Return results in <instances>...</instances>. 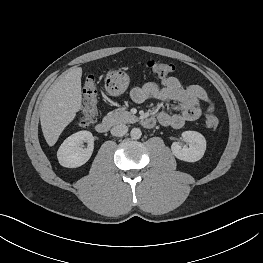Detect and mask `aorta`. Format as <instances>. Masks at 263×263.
<instances>
[{
	"mask_svg": "<svg viewBox=\"0 0 263 263\" xmlns=\"http://www.w3.org/2000/svg\"><path fill=\"white\" fill-rule=\"evenodd\" d=\"M132 139H139L142 135V132L139 128H133L130 132Z\"/></svg>",
	"mask_w": 263,
	"mask_h": 263,
	"instance_id": "762f6f07",
	"label": "aorta"
}]
</instances>
